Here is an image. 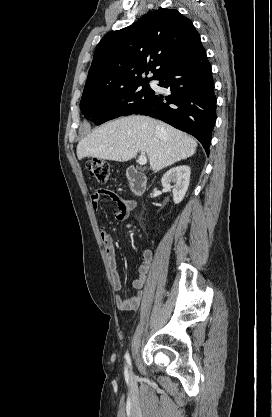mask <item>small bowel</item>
Listing matches in <instances>:
<instances>
[{"label": "small bowel", "mask_w": 272, "mask_h": 417, "mask_svg": "<svg viewBox=\"0 0 272 417\" xmlns=\"http://www.w3.org/2000/svg\"><path fill=\"white\" fill-rule=\"evenodd\" d=\"M101 196L109 197L116 204L115 218L117 220H125L128 217L129 212L135 208L136 202L120 197L116 192L108 189H97L90 197L91 204L95 210H98V205ZM102 244L107 256L108 264L111 271V284L114 291L119 292L122 290V282L120 273L118 271L116 250L112 236L106 231H102ZM141 265L139 267V276L133 281V287L136 289V294L130 298H126L122 295L115 296V303L119 310L131 311L138 308L142 302L144 287L149 272L152 253L147 250L142 254Z\"/></svg>", "instance_id": "small-bowel-1"}]
</instances>
